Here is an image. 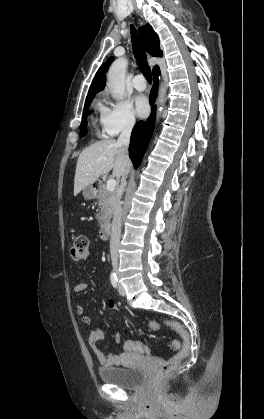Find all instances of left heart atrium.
<instances>
[{
    "mask_svg": "<svg viewBox=\"0 0 264 419\" xmlns=\"http://www.w3.org/2000/svg\"><path fill=\"white\" fill-rule=\"evenodd\" d=\"M135 109H136V113L141 117L147 114L148 102H147L146 97L142 95H138L135 97Z\"/></svg>",
    "mask_w": 264,
    "mask_h": 419,
    "instance_id": "39dd6f15",
    "label": "left heart atrium"
}]
</instances>
